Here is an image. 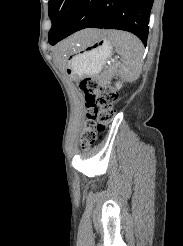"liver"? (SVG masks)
I'll return each instance as SVG.
<instances>
[{"mask_svg": "<svg viewBox=\"0 0 183 246\" xmlns=\"http://www.w3.org/2000/svg\"><path fill=\"white\" fill-rule=\"evenodd\" d=\"M105 34L103 30H94V29H87L75 34L72 38L65 41L61 48L65 51H72L76 49L77 46L95 41L99 37Z\"/></svg>", "mask_w": 183, "mask_h": 246, "instance_id": "liver-1", "label": "liver"}]
</instances>
